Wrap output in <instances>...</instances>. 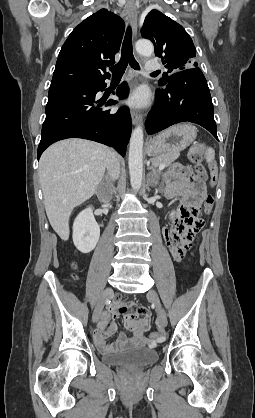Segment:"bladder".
<instances>
[{"instance_id":"31cf9c89","label":"bladder","mask_w":255,"mask_h":418,"mask_svg":"<svg viewBox=\"0 0 255 418\" xmlns=\"http://www.w3.org/2000/svg\"><path fill=\"white\" fill-rule=\"evenodd\" d=\"M159 354L156 350L144 346H135L124 351L106 354L104 362L115 366L143 367L157 361Z\"/></svg>"}]
</instances>
